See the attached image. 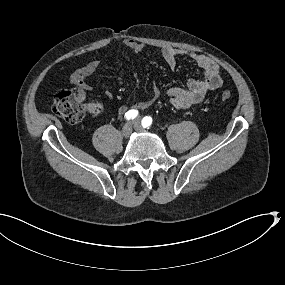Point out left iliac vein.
<instances>
[{
  "mask_svg": "<svg viewBox=\"0 0 285 285\" xmlns=\"http://www.w3.org/2000/svg\"><path fill=\"white\" fill-rule=\"evenodd\" d=\"M132 123H133V127H134L135 130L143 131V129H142L141 125H140V119L139 118L134 119Z\"/></svg>",
  "mask_w": 285,
  "mask_h": 285,
  "instance_id": "1",
  "label": "left iliac vein"
}]
</instances>
